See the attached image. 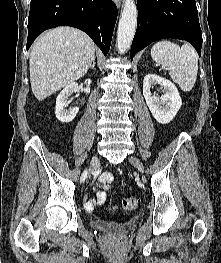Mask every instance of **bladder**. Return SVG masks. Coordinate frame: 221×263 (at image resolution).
<instances>
[{"mask_svg":"<svg viewBox=\"0 0 221 263\" xmlns=\"http://www.w3.org/2000/svg\"><path fill=\"white\" fill-rule=\"evenodd\" d=\"M90 225L92 228L97 229V230H102V231L124 228L126 226L125 224L120 223V222L109 221V220H104V219H99V218L92 219L90 221Z\"/></svg>","mask_w":221,"mask_h":263,"instance_id":"bladder-1","label":"bladder"}]
</instances>
